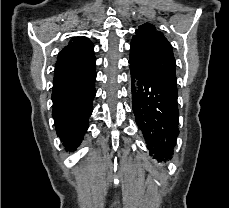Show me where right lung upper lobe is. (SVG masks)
Instances as JSON below:
<instances>
[{"label":"right lung upper lobe","mask_w":229,"mask_h":208,"mask_svg":"<svg viewBox=\"0 0 229 208\" xmlns=\"http://www.w3.org/2000/svg\"><path fill=\"white\" fill-rule=\"evenodd\" d=\"M92 42L85 37L73 38L58 54L53 90L87 75L95 65Z\"/></svg>","instance_id":"1"}]
</instances>
